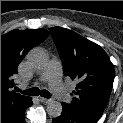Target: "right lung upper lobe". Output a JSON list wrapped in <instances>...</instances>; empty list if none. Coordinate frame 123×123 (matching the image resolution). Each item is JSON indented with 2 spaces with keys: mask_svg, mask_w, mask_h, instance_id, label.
Listing matches in <instances>:
<instances>
[{
  "mask_svg": "<svg viewBox=\"0 0 123 123\" xmlns=\"http://www.w3.org/2000/svg\"><path fill=\"white\" fill-rule=\"evenodd\" d=\"M49 35L45 29L12 30L1 36V115L23 108L30 97L11 91L17 67L26 53Z\"/></svg>",
  "mask_w": 123,
  "mask_h": 123,
  "instance_id": "1",
  "label": "right lung upper lobe"
}]
</instances>
